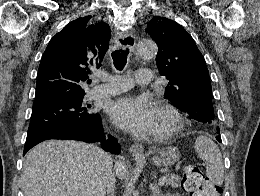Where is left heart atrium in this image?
<instances>
[{
	"instance_id": "obj_1",
	"label": "left heart atrium",
	"mask_w": 260,
	"mask_h": 196,
	"mask_svg": "<svg viewBox=\"0 0 260 196\" xmlns=\"http://www.w3.org/2000/svg\"><path fill=\"white\" fill-rule=\"evenodd\" d=\"M110 116L129 133L145 135L154 125L155 105L147 97L123 96L112 103Z\"/></svg>"
}]
</instances>
